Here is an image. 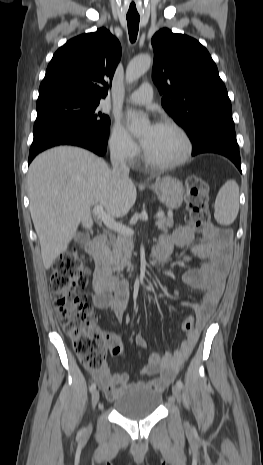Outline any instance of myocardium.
I'll list each match as a JSON object with an SVG mask.
<instances>
[{"mask_svg":"<svg viewBox=\"0 0 263 465\" xmlns=\"http://www.w3.org/2000/svg\"><path fill=\"white\" fill-rule=\"evenodd\" d=\"M158 126H162V127H167V128H171V129H174L175 131H177L180 136L182 137L183 141H184V152L183 154L181 155L180 158L174 160V161H170V162H159L157 160H155L154 158H152L149 153L147 152V150L145 149L144 147V159L146 161V163L148 165H150L151 167L153 168H156V169H160V170H169V169H174L176 167H179L183 164H185L191 157L192 155V152H193V142H192V139L190 137V135L188 134V132L185 130L184 127H182L180 124H178L177 122L175 121H172V120H165V121H161Z\"/></svg>","mask_w":263,"mask_h":465,"instance_id":"obj_1","label":"myocardium"}]
</instances>
